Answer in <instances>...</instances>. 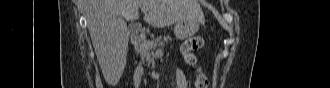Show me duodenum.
<instances>
[{"instance_id":"obj_1","label":"duodenum","mask_w":330,"mask_h":88,"mask_svg":"<svg viewBox=\"0 0 330 88\" xmlns=\"http://www.w3.org/2000/svg\"><path fill=\"white\" fill-rule=\"evenodd\" d=\"M144 38H145V34L142 30H140V31H137L135 33V35L132 37V42H133V44H137V43L142 42L144 40ZM143 71H144L143 68H139L137 70V73H138L137 76H140L143 73Z\"/></svg>"}]
</instances>
